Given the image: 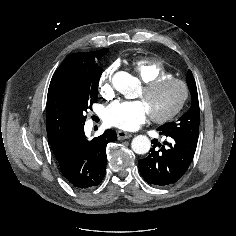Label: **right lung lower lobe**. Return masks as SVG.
I'll list each match as a JSON object with an SVG mask.
<instances>
[{"mask_svg": "<svg viewBox=\"0 0 236 236\" xmlns=\"http://www.w3.org/2000/svg\"><path fill=\"white\" fill-rule=\"evenodd\" d=\"M116 140V132L108 129L89 141L82 126L74 128L53 152L66 180L76 189L86 190L102 181L107 164V144Z\"/></svg>", "mask_w": 236, "mask_h": 236, "instance_id": "obj_1", "label": "right lung lower lobe"}]
</instances>
